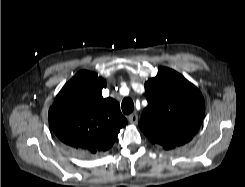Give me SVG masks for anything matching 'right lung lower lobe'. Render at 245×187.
Listing matches in <instances>:
<instances>
[{
    "label": "right lung lower lobe",
    "instance_id": "right-lung-lower-lobe-1",
    "mask_svg": "<svg viewBox=\"0 0 245 187\" xmlns=\"http://www.w3.org/2000/svg\"><path fill=\"white\" fill-rule=\"evenodd\" d=\"M75 152L79 153L80 155H83V156H88L89 154L87 152H83V151H78V150H75L73 149Z\"/></svg>",
    "mask_w": 245,
    "mask_h": 187
}]
</instances>
